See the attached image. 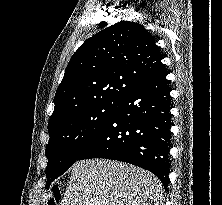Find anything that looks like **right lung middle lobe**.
<instances>
[{
    "mask_svg": "<svg viewBox=\"0 0 222 205\" xmlns=\"http://www.w3.org/2000/svg\"><path fill=\"white\" fill-rule=\"evenodd\" d=\"M121 101L104 102L85 107L48 125L50 136L46 146L48 188L79 158L94 136L106 124Z\"/></svg>",
    "mask_w": 222,
    "mask_h": 205,
    "instance_id": "obj_1",
    "label": "right lung middle lobe"
}]
</instances>
